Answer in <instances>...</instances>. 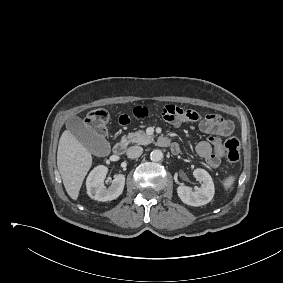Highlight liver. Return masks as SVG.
Instances as JSON below:
<instances>
[{"label":"liver","mask_w":283,"mask_h":283,"mask_svg":"<svg viewBox=\"0 0 283 283\" xmlns=\"http://www.w3.org/2000/svg\"><path fill=\"white\" fill-rule=\"evenodd\" d=\"M92 165L91 153L65 130L59 140L57 166L68 195L77 200L83 180Z\"/></svg>","instance_id":"liver-1"}]
</instances>
